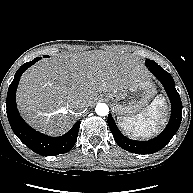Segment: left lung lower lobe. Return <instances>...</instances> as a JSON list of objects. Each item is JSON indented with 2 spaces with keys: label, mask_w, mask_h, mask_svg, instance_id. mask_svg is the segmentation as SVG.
<instances>
[{
  "label": "left lung lower lobe",
  "mask_w": 193,
  "mask_h": 193,
  "mask_svg": "<svg viewBox=\"0 0 193 193\" xmlns=\"http://www.w3.org/2000/svg\"><path fill=\"white\" fill-rule=\"evenodd\" d=\"M146 66L152 74L163 84L165 91L171 101V118L164 131L156 138L149 141H135L126 138L117 128L111 114L108 115L109 128L116 143L123 149L136 154H152L161 150L175 135L179 129L182 119V103L180 96L175 88V83L171 75L163 70L154 61H146Z\"/></svg>",
  "instance_id": "0a47b994"
}]
</instances>
